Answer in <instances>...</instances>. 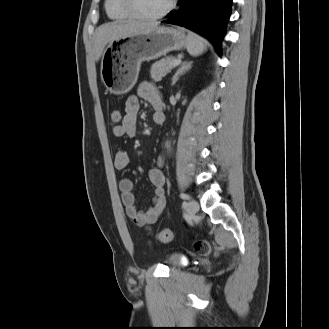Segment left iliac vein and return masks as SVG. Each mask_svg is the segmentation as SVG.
Segmentation results:
<instances>
[{"instance_id": "1", "label": "left iliac vein", "mask_w": 329, "mask_h": 329, "mask_svg": "<svg viewBox=\"0 0 329 329\" xmlns=\"http://www.w3.org/2000/svg\"><path fill=\"white\" fill-rule=\"evenodd\" d=\"M199 211V204L196 200L190 199L187 203V212L189 216H194Z\"/></svg>"}]
</instances>
